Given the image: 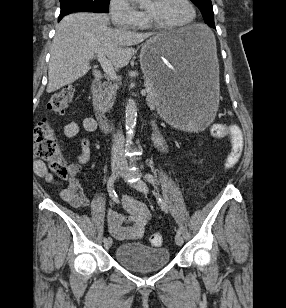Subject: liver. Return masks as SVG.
<instances>
[{
	"label": "liver",
	"mask_w": 286,
	"mask_h": 308,
	"mask_svg": "<svg viewBox=\"0 0 286 308\" xmlns=\"http://www.w3.org/2000/svg\"><path fill=\"white\" fill-rule=\"evenodd\" d=\"M172 31L164 35L173 36ZM153 33H136L109 27L105 14L75 13L65 16L56 27L48 66V93L72 84L90 69V62L99 52L105 53L112 66L125 67L135 54V45ZM95 77H101L97 70Z\"/></svg>",
	"instance_id": "liver-1"
}]
</instances>
